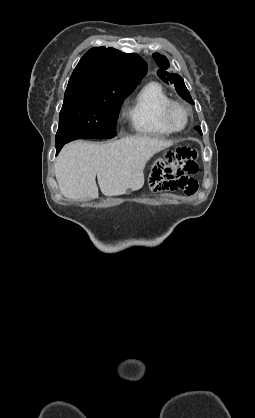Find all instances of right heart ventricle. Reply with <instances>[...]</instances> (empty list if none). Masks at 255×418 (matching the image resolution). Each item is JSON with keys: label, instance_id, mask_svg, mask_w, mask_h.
Wrapping results in <instances>:
<instances>
[{"label": "right heart ventricle", "instance_id": "obj_1", "mask_svg": "<svg viewBox=\"0 0 255 418\" xmlns=\"http://www.w3.org/2000/svg\"><path fill=\"white\" fill-rule=\"evenodd\" d=\"M170 97L155 81L146 83L137 92L127 111L132 130L140 135L164 136L172 133L162 121V111Z\"/></svg>", "mask_w": 255, "mask_h": 418}]
</instances>
